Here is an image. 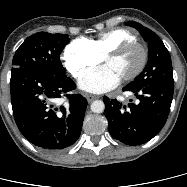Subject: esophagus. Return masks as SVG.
I'll use <instances>...</instances> for the list:
<instances>
[{
	"mask_svg": "<svg viewBox=\"0 0 187 187\" xmlns=\"http://www.w3.org/2000/svg\"><path fill=\"white\" fill-rule=\"evenodd\" d=\"M83 96L87 99L89 103L98 98V96L91 95L88 93H83Z\"/></svg>",
	"mask_w": 187,
	"mask_h": 187,
	"instance_id": "esophagus-1",
	"label": "esophagus"
}]
</instances>
